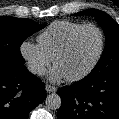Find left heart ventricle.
Listing matches in <instances>:
<instances>
[{
	"mask_svg": "<svg viewBox=\"0 0 119 119\" xmlns=\"http://www.w3.org/2000/svg\"><path fill=\"white\" fill-rule=\"evenodd\" d=\"M100 48V35L94 29L81 32L73 42L70 50L56 63L65 77L83 72L95 59Z\"/></svg>",
	"mask_w": 119,
	"mask_h": 119,
	"instance_id": "obj_1",
	"label": "left heart ventricle"
}]
</instances>
